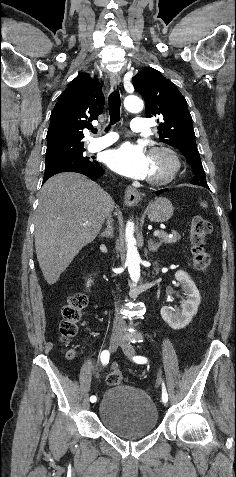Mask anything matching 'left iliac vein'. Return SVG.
<instances>
[{"mask_svg":"<svg viewBox=\"0 0 236 477\" xmlns=\"http://www.w3.org/2000/svg\"><path fill=\"white\" fill-rule=\"evenodd\" d=\"M120 346H121L122 350L124 351L125 355H126L128 358L132 359V357L135 355L134 347H133L130 343H128V342H126V341H124V340H122V341L120 342ZM168 405H169L168 402H166V401L163 402V404H162L163 409H164V410H167V409H168Z\"/></svg>","mask_w":236,"mask_h":477,"instance_id":"4c4485c4","label":"left iliac vein"}]
</instances>
